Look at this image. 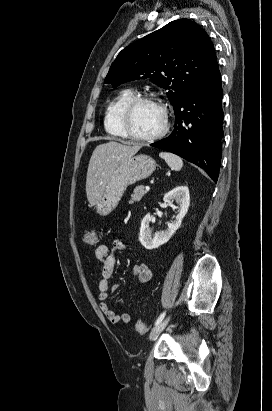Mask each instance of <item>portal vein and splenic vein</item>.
<instances>
[{
  "label": "portal vein and splenic vein",
  "instance_id": "18ae733b",
  "mask_svg": "<svg viewBox=\"0 0 272 411\" xmlns=\"http://www.w3.org/2000/svg\"><path fill=\"white\" fill-rule=\"evenodd\" d=\"M145 189H146L147 191H149V190H150V187L147 185V186L145 187Z\"/></svg>",
  "mask_w": 272,
  "mask_h": 411
}]
</instances>
